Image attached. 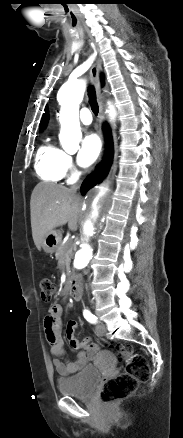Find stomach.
Here are the masks:
<instances>
[{
	"label": "stomach",
	"instance_id": "stomach-1",
	"mask_svg": "<svg viewBox=\"0 0 183 438\" xmlns=\"http://www.w3.org/2000/svg\"><path fill=\"white\" fill-rule=\"evenodd\" d=\"M61 242V232L59 230H52L45 237L41 247L46 253H54Z\"/></svg>",
	"mask_w": 183,
	"mask_h": 438
}]
</instances>
